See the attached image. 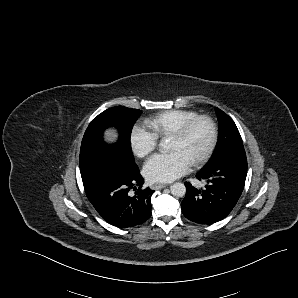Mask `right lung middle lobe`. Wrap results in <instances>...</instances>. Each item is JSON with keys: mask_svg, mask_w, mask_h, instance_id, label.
Segmentation results:
<instances>
[{"mask_svg": "<svg viewBox=\"0 0 298 298\" xmlns=\"http://www.w3.org/2000/svg\"><path fill=\"white\" fill-rule=\"evenodd\" d=\"M141 115L138 109L123 106L109 108L95 117L87 127L80 149V172L82 180L112 175L137 168L130 146L133 125ZM114 126L119 140L114 145L103 142L105 128Z\"/></svg>", "mask_w": 298, "mask_h": 298, "instance_id": "obj_1", "label": "right lung middle lobe"}]
</instances>
